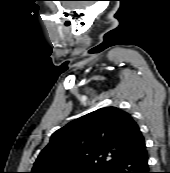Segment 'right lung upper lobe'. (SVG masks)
Wrapping results in <instances>:
<instances>
[{
  "mask_svg": "<svg viewBox=\"0 0 170 173\" xmlns=\"http://www.w3.org/2000/svg\"><path fill=\"white\" fill-rule=\"evenodd\" d=\"M145 145L132 116L116 107L98 109L54 132L31 173L106 169Z\"/></svg>",
  "mask_w": 170,
  "mask_h": 173,
  "instance_id": "obj_1",
  "label": "right lung upper lobe"
}]
</instances>
